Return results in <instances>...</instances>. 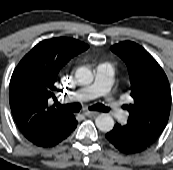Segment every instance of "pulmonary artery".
<instances>
[{
  "label": "pulmonary artery",
  "instance_id": "obj_1",
  "mask_svg": "<svg viewBox=\"0 0 173 170\" xmlns=\"http://www.w3.org/2000/svg\"><path fill=\"white\" fill-rule=\"evenodd\" d=\"M113 77L114 71L110 66L99 65L96 69L94 82L75 91L73 97L80 102L103 97L113 117L118 121H123L126 118V112L111 94Z\"/></svg>",
  "mask_w": 173,
  "mask_h": 170
}]
</instances>
